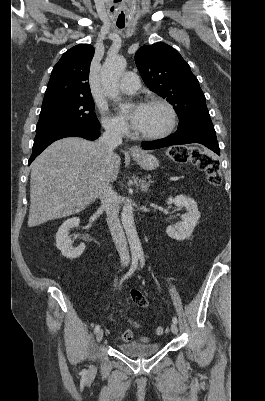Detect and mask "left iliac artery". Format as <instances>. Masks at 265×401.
<instances>
[{
  "label": "left iliac artery",
  "mask_w": 265,
  "mask_h": 401,
  "mask_svg": "<svg viewBox=\"0 0 265 401\" xmlns=\"http://www.w3.org/2000/svg\"><path fill=\"white\" fill-rule=\"evenodd\" d=\"M140 259H141V267H143V266H144V263H145V259H144L143 256H141ZM172 321H173V323H176V324H177V322H178L177 317L174 316V317L172 318Z\"/></svg>",
  "instance_id": "44dca946"
}]
</instances>
